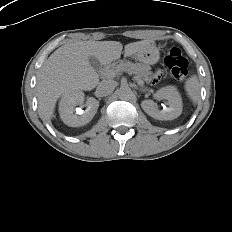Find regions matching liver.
Returning a JSON list of instances; mask_svg holds the SVG:
<instances>
[{
    "mask_svg": "<svg viewBox=\"0 0 232 232\" xmlns=\"http://www.w3.org/2000/svg\"><path fill=\"white\" fill-rule=\"evenodd\" d=\"M151 43L142 40L126 44L125 57L144 49ZM123 45L117 41H76L55 50L43 65L37 81L39 115L50 121L54 116L58 98L76 90L90 91L99 83L96 70L89 57L95 56L100 64H109L121 57Z\"/></svg>",
    "mask_w": 232,
    "mask_h": 232,
    "instance_id": "6515ba94",
    "label": "liver"
}]
</instances>
